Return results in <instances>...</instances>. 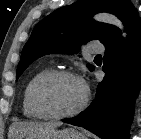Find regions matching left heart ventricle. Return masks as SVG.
Here are the masks:
<instances>
[{
    "mask_svg": "<svg viewBox=\"0 0 141 139\" xmlns=\"http://www.w3.org/2000/svg\"><path fill=\"white\" fill-rule=\"evenodd\" d=\"M42 97L51 112H67L80 103L83 97V88L76 79L60 77L46 84Z\"/></svg>",
    "mask_w": 141,
    "mask_h": 139,
    "instance_id": "b2bd125f",
    "label": "left heart ventricle"
}]
</instances>
